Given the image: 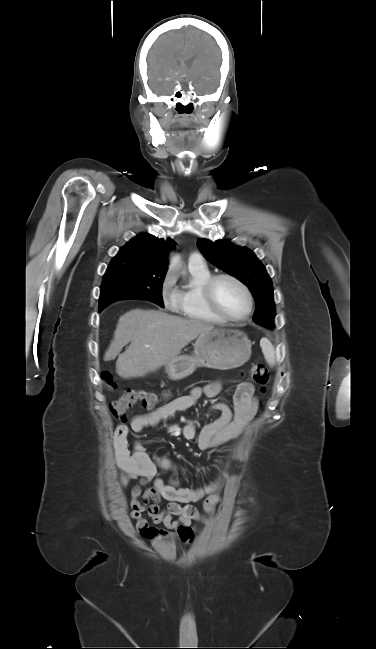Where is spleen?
<instances>
[{"mask_svg":"<svg viewBox=\"0 0 376 649\" xmlns=\"http://www.w3.org/2000/svg\"><path fill=\"white\" fill-rule=\"evenodd\" d=\"M260 346L267 363L271 366L275 364V350L271 342L267 338H262Z\"/></svg>","mask_w":376,"mask_h":649,"instance_id":"3e777b00","label":"spleen"}]
</instances>
